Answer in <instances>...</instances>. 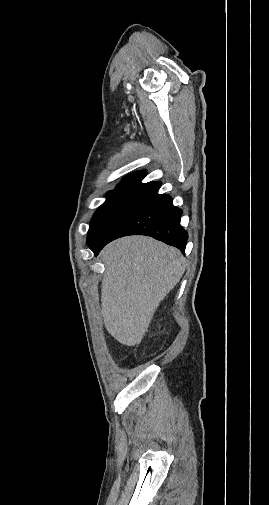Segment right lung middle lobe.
I'll return each instance as SVG.
<instances>
[{"mask_svg":"<svg viewBox=\"0 0 269 505\" xmlns=\"http://www.w3.org/2000/svg\"><path fill=\"white\" fill-rule=\"evenodd\" d=\"M137 192L138 190L125 188H116L108 192L106 201L94 213L90 223L87 235L88 246L97 242L108 224Z\"/></svg>","mask_w":269,"mask_h":505,"instance_id":"1","label":"right lung middle lobe"}]
</instances>
